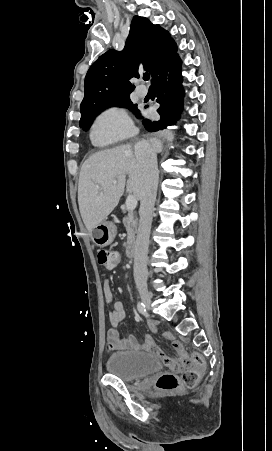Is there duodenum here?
<instances>
[{"mask_svg": "<svg viewBox=\"0 0 272 451\" xmlns=\"http://www.w3.org/2000/svg\"><path fill=\"white\" fill-rule=\"evenodd\" d=\"M127 257L133 259L135 257V247L130 245L126 251Z\"/></svg>", "mask_w": 272, "mask_h": 451, "instance_id": "obj_1", "label": "duodenum"}]
</instances>
